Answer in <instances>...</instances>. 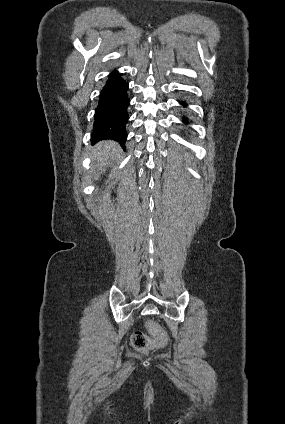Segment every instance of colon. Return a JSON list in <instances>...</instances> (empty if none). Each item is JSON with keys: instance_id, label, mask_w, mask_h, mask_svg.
<instances>
[{"instance_id": "5ec220e1", "label": "colon", "mask_w": 285, "mask_h": 424, "mask_svg": "<svg viewBox=\"0 0 285 424\" xmlns=\"http://www.w3.org/2000/svg\"><path fill=\"white\" fill-rule=\"evenodd\" d=\"M147 328L151 336L141 331L135 332L132 335V344L134 348L142 353L162 347L167 341L165 330L157 323L148 321Z\"/></svg>"}]
</instances>
